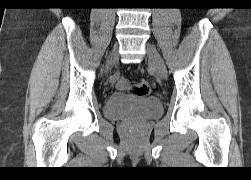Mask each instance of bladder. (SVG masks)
<instances>
[{
	"instance_id": "obj_1",
	"label": "bladder",
	"mask_w": 251,
	"mask_h": 180,
	"mask_svg": "<svg viewBox=\"0 0 251 180\" xmlns=\"http://www.w3.org/2000/svg\"><path fill=\"white\" fill-rule=\"evenodd\" d=\"M162 110V102L156 97L114 93L105 102L103 112L111 120H147L158 117Z\"/></svg>"
}]
</instances>
